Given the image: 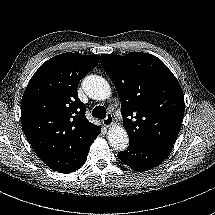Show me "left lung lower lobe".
<instances>
[{
	"mask_svg": "<svg viewBox=\"0 0 215 215\" xmlns=\"http://www.w3.org/2000/svg\"><path fill=\"white\" fill-rule=\"evenodd\" d=\"M173 148V144L141 145L130 143L127 150L119 152V159L136 171H147L163 162Z\"/></svg>",
	"mask_w": 215,
	"mask_h": 215,
	"instance_id": "0a47b994",
	"label": "left lung lower lobe"
}]
</instances>
